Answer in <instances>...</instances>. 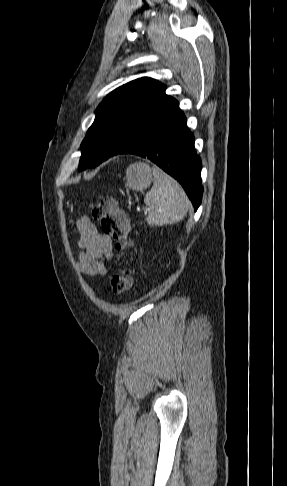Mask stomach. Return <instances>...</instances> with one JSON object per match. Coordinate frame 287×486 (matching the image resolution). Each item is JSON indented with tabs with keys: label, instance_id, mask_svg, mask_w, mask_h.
Returning <instances> with one entry per match:
<instances>
[{
	"label": "stomach",
	"instance_id": "stomach-1",
	"mask_svg": "<svg viewBox=\"0 0 287 486\" xmlns=\"http://www.w3.org/2000/svg\"><path fill=\"white\" fill-rule=\"evenodd\" d=\"M126 186L135 191H143L152 182V173L148 164L137 162L126 170Z\"/></svg>",
	"mask_w": 287,
	"mask_h": 486
}]
</instances>
